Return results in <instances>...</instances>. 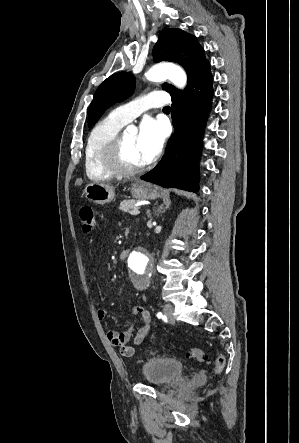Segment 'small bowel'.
<instances>
[{
  "mask_svg": "<svg viewBox=\"0 0 299 443\" xmlns=\"http://www.w3.org/2000/svg\"><path fill=\"white\" fill-rule=\"evenodd\" d=\"M107 314V310L104 307H99L97 309V315L100 319H103ZM134 316H140L142 318V323L138 328L136 334L132 336L133 327L129 326L123 332H117L110 330L107 333L109 342L118 347L124 356L130 357L134 355L135 348L143 344L151 330V320L149 312L143 306H136L133 309ZM132 340V344L129 342Z\"/></svg>",
  "mask_w": 299,
  "mask_h": 443,
  "instance_id": "obj_1",
  "label": "small bowel"
}]
</instances>
